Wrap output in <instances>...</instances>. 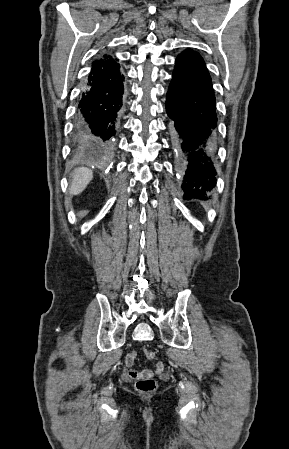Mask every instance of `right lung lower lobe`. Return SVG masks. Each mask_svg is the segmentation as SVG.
Returning <instances> with one entry per match:
<instances>
[{
    "label": "right lung lower lobe",
    "mask_w": 289,
    "mask_h": 449,
    "mask_svg": "<svg viewBox=\"0 0 289 449\" xmlns=\"http://www.w3.org/2000/svg\"><path fill=\"white\" fill-rule=\"evenodd\" d=\"M122 95L119 64L92 69L78 105L76 128L82 139L100 150L113 148Z\"/></svg>",
    "instance_id": "right-lung-lower-lobe-1"
}]
</instances>
